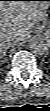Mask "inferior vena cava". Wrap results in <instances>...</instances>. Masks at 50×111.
Returning <instances> with one entry per match:
<instances>
[{
  "label": "inferior vena cava",
  "instance_id": "602c4592",
  "mask_svg": "<svg viewBox=\"0 0 50 111\" xmlns=\"http://www.w3.org/2000/svg\"><path fill=\"white\" fill-rule=\"evenodd\" d=\"M16 41H19V39L14 38V37H9L6 39V42L2 45V48L3 49L8 48V47L14 45Z\"/></svg>",
  "mask_w": 50,
  "mask_h": 111
}]
</instances>
